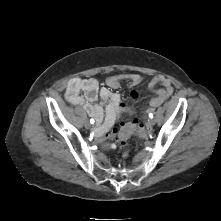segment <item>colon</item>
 Returning a JSON list of instances; mask_svg holds the SVG:
<instances>
[{"label":"colon","mask_w":221,"mask_h":221,"mask_svg":"<svg viewBox=\"0 0 221 221\" xmlns=\"http://www.w3.org/2000/svg\"><path fill=\"white\" fill-rule=\"evenodd\" d=\"M141 127L138 125L136 119L131 118L128 122L122 124L121 129L117 132V142L116 144L106 145L108 148H115L116 146L124 147L126 142L132 140L133 135L132 133L137 131L138 128Z\"/></svg>","instance_id":"5ec220e1"}]
</instances>
